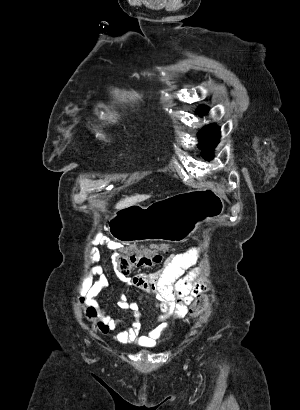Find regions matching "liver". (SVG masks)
Masks as SVG:
<instances>
[{
    "label": "liver",
    "mask_w": 300,
    "mask_h": 410,
    "mask_svg": "<svg viewBox=\"0 0 300 410\" xmlns=\"http://www.w3.org/2000/svg\"><path fill=\"white\" fill-rule=\"evenodd\" d=\"M146 198H148V195H135V196H131V197H126L125 199H122L121 201H119L116 204L115 208L116 209H121L123 207L134 205L138 202H141V201L145 200Z\"/></svg>",
    "instance_id": "obj_1"
}]
</instances>
